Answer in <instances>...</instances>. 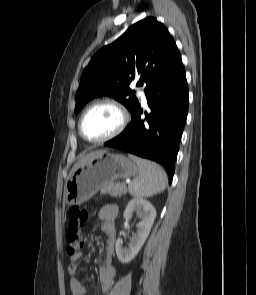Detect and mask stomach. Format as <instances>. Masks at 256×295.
Instances as JSON below:
<instances>
[{"instance_id": "stomach-1", "label": "stomach", "mask_w": 256, "mask_h": 295, "mask_svg": "<svg viewBox=\"0 0 256 295\" xmlns=\"http://www.w3.org/2000/svg\"><path fill=\"white\" fill-rule=\"evenodd\" d=\"M138 172V166L125 156L105 151L73 171L66 183L64 200L68 206H80L103 186Z\"/></svg>"}]
</instances>
